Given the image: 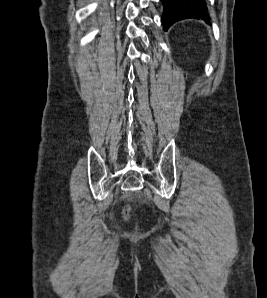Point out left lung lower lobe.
Here are the masks:
<instances>
[{
  "instance_id": "1",
  "label": "left lung lower lobe",
  "mask_w": 267,
  "mask_h": 298,
  "mask_svg": "<svg viewBox=\"0 0 267 298\" xmlns=\"http://www.w3.org/2000/svg\"><path fill=\"white\" fill-rule=\"evenodd\" d=\"M164 5L162 23L167 31L170 25L186 19L196 18L205 20L208 16L204 0H161Z\"/></svg>"
}]
</instances>
